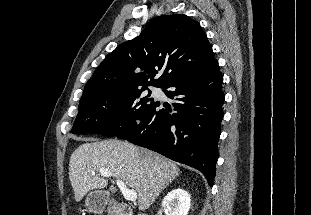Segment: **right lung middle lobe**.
Wrapping results in <instances>:
<instances>
[{"label": "right lung middle lobe", "instance_id": "right-lung-middle-lobe-1", "mask_svg": "<svg viewBox=\"0 0 311 215\" xmlns=\"http://www.w3.org/2000/svg\"><path fill=\"white\" fill-rule=\"evenodd\" d=\"M150 94L151 91L146 87L124 92H109L82 100L71 132L108 136L126 132L159 105Z\"/></svg>", "mask_w": 311, "mask_h": 215}]
</instances>
